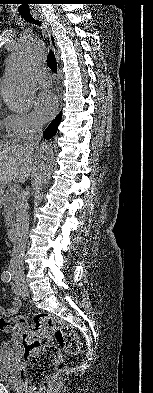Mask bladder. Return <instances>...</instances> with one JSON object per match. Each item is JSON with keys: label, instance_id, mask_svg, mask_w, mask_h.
<instances>
[{"label": "bladder", "instance_id": "31cf9c89", "mask_svg": "<svg viewBox=\"0 0 153 393\" xmlns=\"http://www.w3.org/2000/svg\"><path fill=\"white\" fill-rule=\"evenodd\" d=\"M18 365L14 360L13 348L0 349V381L7 383L17 382L16 371Z\"/></svg>", "mask_w": 153, "mask_h": 393}]
</instances>
